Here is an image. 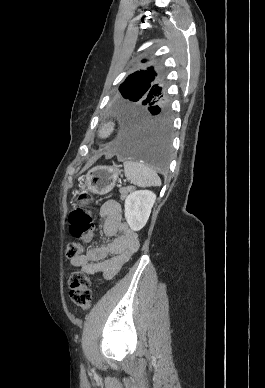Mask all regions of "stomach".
I'll list each match as a JSON object with an SVG mask.
<instances>
[{
	"mask_svg": "<svg viewBox=\"0 0 265 388\" xmlns=\"http://www.w3.org/2000/svg\"><path fill=\"white\" fill-rule=\"evenodd\" d=\"M120 171L117 166H96L86 175L81 190L98 195L110 192L117 181Z\"/></svg>",
	"mask_w": 265,
	"mask_h": 388,
	"instance_id": "stomach-1",
	"label": "stomach"
}]
</instances>
